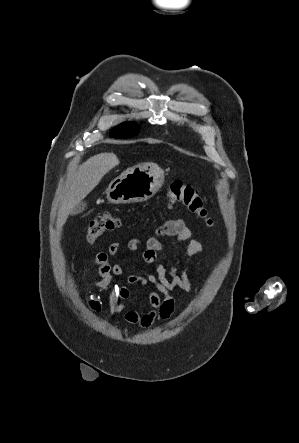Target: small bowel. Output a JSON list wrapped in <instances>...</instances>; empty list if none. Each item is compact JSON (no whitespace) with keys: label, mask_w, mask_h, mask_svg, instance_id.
<instances>
[{"label":"small bowel","mask_w":299,"mask_h":443,"mask_svg":"<svg viewBox=\"0 0 299 443\" xmlns=\"http://www.w3.org/2000/svg\"><path fill=\"white\" fill-rule=\"evenodd\" d=\"M159 237H169L173 243L188 241L185 247L184 264L167 266L161 257L163 245ZM192 232L185 225L182 219H173L159 226L153 236L145 242L143 260L146 264L153 266V269L145 272L143 275H131L127 277V285H118L114 283L115 277L124 275V267L119 264H112L109 261L110 256H119L121 254V245L117 242L112 243L108 252H99L95 256V262L99 266L100 278L95 282V286L106 290L110 289L109 303L112 310L116 313H124V320L133 325L142 328H148L156 319H169L175 308V300L171 295L175 288L186 292H195L196 286L190 281L187 275V264L190 259L202 251L200 241L191 239ZM141 241L137 238L128 242L130 251H137ZM200 267V265H199ZM142 284L152 286L155 291L148 293L149 311L141 313L135 310H126L125 301L130 296L128 285ZM91 307L94 310L100 308L96 300L91 301Z\"/></svg>","instance_id":"obj_1"}]
</instances>
